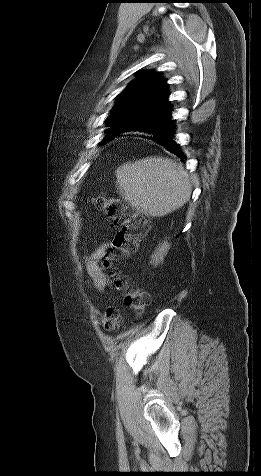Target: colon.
<instances>
[{
    "instance_id": "1",
    "label": "colon",
    "mask_w": 261,
    "mask_h": 476,
    "mask_svg": "<svg viewBox=\"0 0 261 476\" xmlns=\"http://www.w3.org/2000/svg\"><path fill=\"white\" fill-rule=\"evenodd\" d=\"M94 206L117 227V231L110 243L108 252L104 256L103 266L113 270L112 276L117 289L124 291V302L135 314H141L149 302L148 293L140 288H131L126 279L118 275L114 269L116 263L134 253L140 240L149 232L147 217L131 210L120 199L99 195L93 199ZM120 314L114 307H108L101 316V325L106 330H115L120 325Z\"/></svg>"
}]
</instances>
